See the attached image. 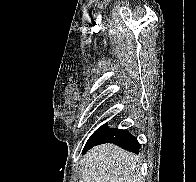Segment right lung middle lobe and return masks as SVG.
<instances>
[{
	"instance_id": "right-lung-middle-lobe-1",
	"label": "right lung middle lobe",
	"mask_w": 196,
	"mask_h": 182,
	"mask_svg": "<svg viewBox=\"0 0 196 182\" xmlns=\"http://www.w3.org/2000/svg\"><path fill=\"white\" fill-rule=\"evenodd\" d=\"M107 129V125L104 124L102 125L100 128H98L89 138V140L87 141L85 147H84V151L95 141V139L102 134L105 130Z\"/></svg>"
}]
</instances>
